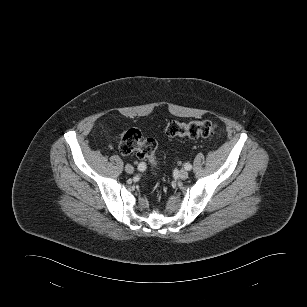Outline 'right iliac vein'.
Segmentation results:
<instances>
[{"instance_id":"1","label":"right iliac vein","mask_w":307,"mask_h":307,"mask_svg":"<svg viewBox=\"0 0 307 307\" xmlns=\"http://www.w3.org/2000/svg\"><path fill=\"white\" fill-rule=\"evenodd\" d=\"M125 171L129 174H132L134 172V168L131 165H126L125 166Z\"/></svg>"}]
</instances>
